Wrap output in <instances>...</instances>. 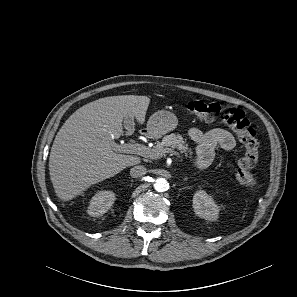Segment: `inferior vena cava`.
<instances>
[{
	"label": "inferior vena cava",
	"instance_id": "obj_1",
	"mask_svg": "<svg viewBox=\"0 0 297 297\" xmlns=\"http://www.w3.org/2000/svg\"><path fill=\"white\" fill-rule=\"evenodd\" d=\"M146 173H147V169L142 165L134 166L130 170V175L133 178H140L144 176Z\"/></svg>",
	"mask_w": 297,
	"mask_h": 297
}]
</instances>
